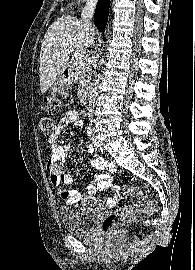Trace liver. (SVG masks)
Masks as SVG:
<instances>
[{
  "label": "liver",
  "instance_id": "6515ba94",
  "mask_svg": "<svg viewBox=\"0 0 195 270\" xmlns=\"http://www.w3.org/2000/svg\"><path fill=\"white\" fill-rule=\"evenodd\" d=\"M96 35L93 26H86L73 16L59 17L48 28L40 51V89L45 93L67 67L70 54L88 48Z\"/></svg>",
  "mask_w": 195,
  "mask_h": 270
}]
</instances>
